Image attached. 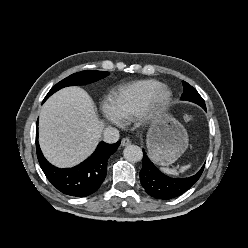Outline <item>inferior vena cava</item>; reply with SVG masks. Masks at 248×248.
Masks as SVG:
<instances>
[{"label":"inferior vena cava","mask_w":248,"mask_h":248,"mask_svg":"<svg viewBox=\"0 0 248 248\" xmlns=\"http://www.w3.org/2000/svg\"><path fill=\"white\" fill-rule=\"evenodd\" d=\"M119 131L116 128L108 127L103 132V140L107 143H115L119 140Z\"/></svg>","instance_id":"inferior-vena-cava-1"}]
</instances>
